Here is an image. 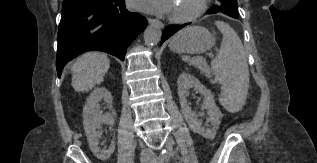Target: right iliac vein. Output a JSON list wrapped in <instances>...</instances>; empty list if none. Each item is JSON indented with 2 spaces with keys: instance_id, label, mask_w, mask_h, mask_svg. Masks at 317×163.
Returning a JSON list of instances; mask_svg holds the SVG:
<instances>
[{
  "instance_id": "63e3f726",
  "label": "right iliac vein",
  "mask_w": 317,
  "mask_h": 163,
  "mask_svg": "<svg viewBox=\"0 0 317 163\" xmlns=\"http://www.w3.org/2000/svg\"><path fill=\"white\" fill-rule=\"evenodd\" d=\"M142 163H149V161H147V160H143V161H142Z\"/></svg>"
}]
</instances>
